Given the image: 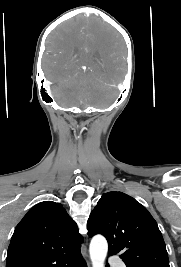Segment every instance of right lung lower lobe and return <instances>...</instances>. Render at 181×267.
<instances>
[{
    "label": "right lung lower lobe",
    "instance_id": "1",
    "mask_svg": "<svg viewBox=\"0 0 181 267\" xmlns=\"http://www.w3.org/2000/svg\"><path fill=\"white\" fill-rule=\"evenodd\" d=\"M53 267H86L81 252L74 254L60 263L55 264Z\"/></svg>",
    "mask_w": 181,
    "mask_h": 267
}]
</instances>
